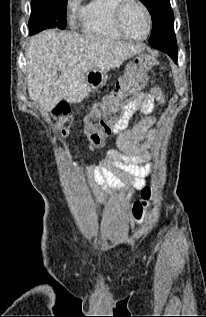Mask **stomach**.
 Returning <instances> with one entry per match:
<instances>
[{
	"mask_svg": "<svg viewBox=\"0 0 206 317\" xmlns=\"http://www.w3.org/2000/svg\"><path fill=\"white\" fill-rule=\"evenodd\" d=\"M138 57H150L147 54H141L134 59L132 63H124V70L126 68H135ZM86 82H84V89L89 94H106L107 91H113L116 87L117 72H113L112 68H99V70H90L84 74Z\"/></svg>",
	"mask_w": 206,
	"mask_h": 317,
	"instance_id": "obj_1",
	"label": "stomach"
}]
</instances>
